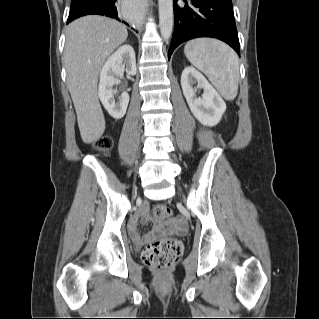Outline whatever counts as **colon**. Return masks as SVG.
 I'll return each mask as SVG.
<instances>
[{
	"label": "colon",
	"instance_id": "colon-1",
	"mask_svg": "<svg viewBox=\"0 0 319 319\" xmlns=\"http://www.w3.org/2000/svg\"><path fill=\"white\" fill-rule=\"evenodd\" d=\"M95 146L102 151L109 150L112 147V140L109 137L102 138ZM151 215L158 220H169L173 213L166 205L161 204L153 207ZM182 253V242L175 238H167L146 245L142 259L145 265L163 274L180 259Z\"/></svg>",
	"mask_w": 319,
	"mask_h": 319
}]
</instances>
